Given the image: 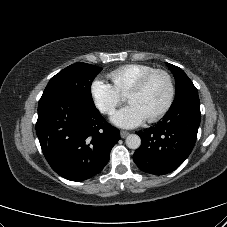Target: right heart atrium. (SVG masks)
<instances>
[{
    "label": "right heart atrium",
    "mask_w": 227,
    "mask_h": 227,
    "mask_svg": "<svg viewBox=\"0 0 227 227\" xmlns=\"http://www.w3.org/2000/svg\"><path fill=\"white\" fill-rule=\"evenodd\" d=\"M90 93L96 107L104 114H111L122 102V95L113 85L102 79H95L91 83Z\"/></svg>",
    "instance_id": "1"
}]
</instances>
